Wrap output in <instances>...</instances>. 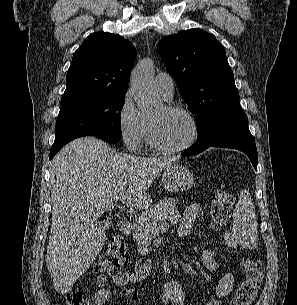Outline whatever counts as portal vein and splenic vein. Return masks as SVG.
Segmentation results:
<instances>
[{
	"label": "portal vein and splenic vein",
	"instance_id": "obj_1",
	"mask_svg": "<svg viewBox=\"0 0 297 305\" xmlns=\"http://www.w3.org/2000/svg\"><path fill=\"white\" fill-rule=\"evenodd\" d=\"M108 209H109L110 211H112V210L114 209V205L109 206Z\"/></svg>",
	"mask_w": 297,
	"mask_h": 305
}]
</instances>
